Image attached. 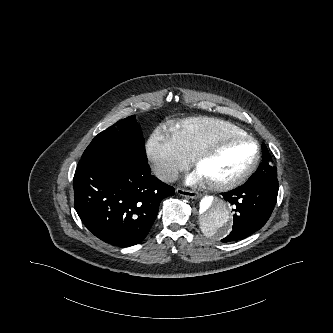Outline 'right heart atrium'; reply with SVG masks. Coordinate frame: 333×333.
<instances>
[{
    "mask_svg": "<svg viewBox=\"0 0 333 333\" xmlns=\"http://www.w3.org/2000/svg\"><path fill=\"white\" fill-rule=\"evenodd\" d=\"M145 152L155 175L166 182L174 180L190 163L172 135L162 128H157L150 135Z\"/></svg>",
    "mask_w": 333,
    "mask_h": 333,
    "instance_id": "1",
    "label": "right heart atrium"
}]
</instances>
